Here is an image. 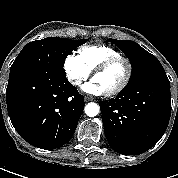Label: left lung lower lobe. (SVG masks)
Listing matches in <instances>:
<instances>
[{"label":"left lung lower lobe","mask_w":178,"mask_h":178,"mask_svg":"<svg viewBox=\"0 0 178 178\" xmlns=\"http://www.w3.org/2000/svg\"><path fill=\"white\" fill-rule=\"evenodd\" d=\"M109 145L117 153L138 155L165 133L171 115L170 82L124 88L99 103Z\"/></svg>","instance_id":"left-lung-lower-lobe-1"}]
</instances>
